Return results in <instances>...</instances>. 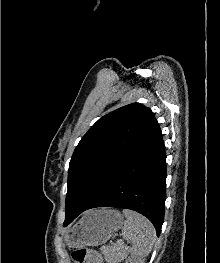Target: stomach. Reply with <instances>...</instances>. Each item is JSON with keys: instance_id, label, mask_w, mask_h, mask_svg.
<instances>
[{"instance_id": "1", "label": "stomach", "mask_w": 220, "mask_h": 263, "mask_svg": "<svg viewBox=\"0 0 220 263\" xmlns=\"http://www.w3.org/2000/svg\"><path fill=\"white\" fill-rule=\"evenodd\" d=\"M122 226L123 216L118 211L91 210L66 232L64 240L69 248L98 246L107 242Z\"/></svg>"}]
</instances>
